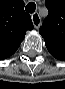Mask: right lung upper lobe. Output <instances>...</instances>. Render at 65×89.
Returning <instances> with one entry per match:
<instances>
[{
	"label": "right lung upper lobe",
	"instance_id": "1",
	"mask_svg": "<svg viewBox=\"0 0 65 89\" xmlns=\"http://www.w3.org/2000/svg\"><path fill=\"white\" fill-rule=\"evenodd\" d=\"M22 0H0V60L11 56L20 46L27 30L33 29Z\"/></svg>",
	"mask_w": 65,
	"mask_h": 89
}]
</instances>
